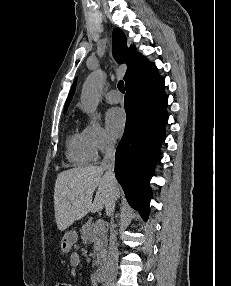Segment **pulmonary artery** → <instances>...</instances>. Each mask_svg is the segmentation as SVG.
Wrapping results in <instances>:
<instances>
[{
	"label": "pulmonary artery",
	"mask_w": 231,
	"mask_h": 286,
	"mask_svg": "<svg viewBox=\"0 0 231 286\" xmlns=\"http://www.w3.org/2000/svg\"><path fill=\"white\" fill-rule=\"evenodd\" d=\"M105 99L110 104H116L121 101V95L118 90L112 89L106 94Z\"/></svg>",
	"instance_id": "1"
}]
</instances>
